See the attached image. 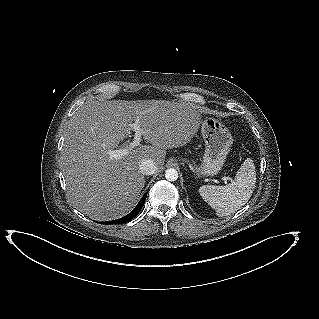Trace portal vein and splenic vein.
Returning <instances> with one entry per match:
<instances>
[{"label": "portal vein and splenic vein", "mask_w": 319, "mask_h": 319, "mask_svg": "<svg viewBox=\"0 0 319 319\" xmlns=\"http://www.w3.org/2000/svg\"><path fill=\"white\" fill-rule=\"evenodd\" d=\"M131 128L135 131L134 139L129 143V147L123 149H117L110 151V155L115 159H121L124 156H127L130 153V150L134 149L136 146H139L141 136L143 132L140 129L139 125V117H137L136 121L130 125ZM228 177H223L222 180L227 183Z\"/></svg>", "instance_id": "portal-vein-and-splenic-vein-1"}]
</instances>
